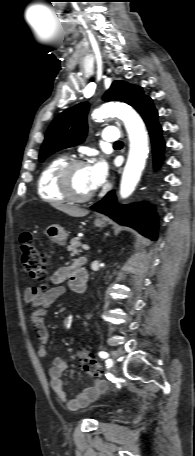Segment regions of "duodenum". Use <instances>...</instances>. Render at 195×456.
<instances>
[{
  "label": "duodenum",
  "instance_id": "obj_1",
  "mask_svg": "<svg viewBox=\"0 0 195 456\" xmlns=\"http://www.w3.org/2000/svg\"><path fill=\"white\" fill-rule=\"evenodd\" d=\"M88 272L80 265L73 274L71 286L77 293H84L88 285Z\"/></svg>",
  "mask_w": 195,
  "mask_h": 456
}]
</instances>
